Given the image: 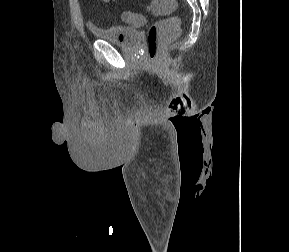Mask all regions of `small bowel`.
Returning <instances> with one entry per match:
<instances>
[{
    "mask_svg": "<svg viewBox=\"0 0 289 252\" xmlns=\"http://www.w3.org/2000/svg\"><path fill=\"white\" fill-rule=\"evenodd\" d=\"M101 1L104 2V3H106V4H108V3L113 2L114 0H101Z\"/></svg>",
    "mask_w": 289,
    "mask_h": 252,
    "instance_id": "obj_1",
    "label": "small bowel"
}]
</instances>
